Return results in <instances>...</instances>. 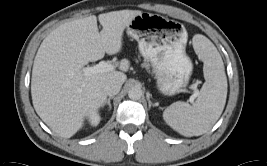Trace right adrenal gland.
Masks as SVG:
<instances>
[{"label": "right adrenal gland", "mask_w": 267, "mask_h": 166, "mask_svg": "<svg viewBox=\"0 0 267 166\" xmlns=\"http://www.w3.org/2000/svg\"><path fill=\"white\" fill-rule=\"evenodd\" d=\"M114 97L113 96H110L104 103V105H108L109 107V111L111 110V103H110V100L113 99Z\"/></svg>", "instance_id": "2a0ac1e0"}]
</instances>
